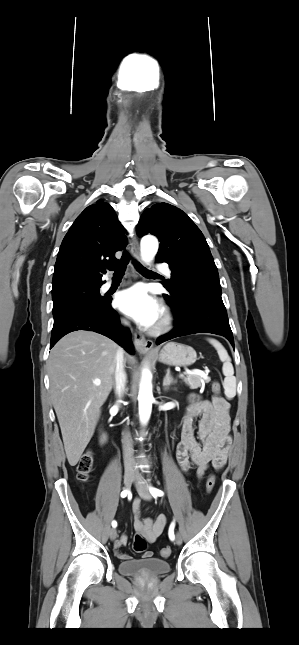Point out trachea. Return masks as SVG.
Instances as JSON below:
<instances>
[{"label":"trachea","mask_w":299,"mask_h":645,"mask_svg":"<svg viewBox=\"0 0 299 645\" xmlns=\"http://www.w3.org/2000/svg\"><path fill=\"white\" fill-rule=\"evenodd\" d=\"M129 258V254L127 252H124L121 259L116 264H109L107 268L111 271H114V276H123L129 262ZM135 265L137 270L144 275L154 274V272L144 268L138 262H135Z\"/></svg>","instance_id":"trachea-1"}]
</instances>
